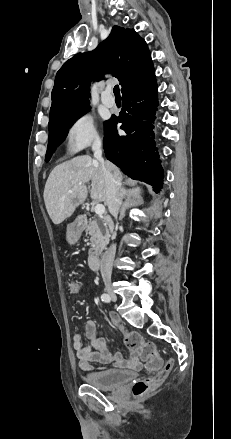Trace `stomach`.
<instances>
[{"instance_id": "obj_1", "label": "stomach", "mask_w": 231, "mask_h": 439, "mask_svg": "<svg viewBox=\"0 0 231 439\" xmlns=\"http://www.w3.org/2000/svg\"><path fill=\"white\" fill-rule=\"evenodd\" d=\"M82 233V226L78 221H75L67 226L66 238L70 244H75Z\"/></svg>"}]
</instances>
